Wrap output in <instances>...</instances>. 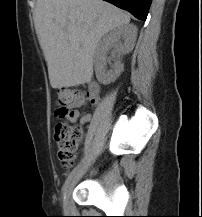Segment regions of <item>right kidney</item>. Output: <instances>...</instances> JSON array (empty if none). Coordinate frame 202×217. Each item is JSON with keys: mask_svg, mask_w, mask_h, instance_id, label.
Returning a JSON list of instances; mask_svg holds the SVG:
<instances>
[{"mask_svg": "<svg viewBox=\"0 0 202 217\" xmlns=\"http://www.w3.org/2000/svg\"><path fill=\"white\" fill-rule=\"evenodd\" d=\"M137 38V28L133 24H126L112 29L98 43L95 52V73L98 81L103 85L114 82L123 71L121 56L133 50ZM110 49L111 57H107ZM113 60L107 70V62Z\"/></svg>", "mask_w": 202, "mask_h": 217, "instance_id": "right-kidney-1", "label": "right kidney"}]
</instances>
